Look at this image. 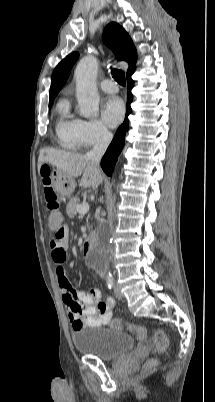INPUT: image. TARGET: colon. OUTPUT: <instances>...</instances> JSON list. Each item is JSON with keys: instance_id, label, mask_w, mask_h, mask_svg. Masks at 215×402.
I'll return each instance as SVG.
<instances>
[{"instance_id": "1", "label": "colon", "mask_w": 215, "mask_h": 402, "mask_svg": "<svg viewBox=\"0 0 215 402\" xmlns=\"http://www.w3.org/2000/svg\"><path fill=\"white\" fill-rule=\"evenodd\" d=\"M39 176L41 179H48L50 176L48 166L43 165L40 168ZM44 198L48 211V226L53 230L60 229L61 217L59 212V202L56 193L52 189L49 181H44ZM123 322L120 319H115L111 322V327L120 329L123 327ZM127 329L132 332L138 339L145 340L147 333L144 327L133 324H126ZM153 342L158 351H164L169 344L168 337L163 330H156L154 332ZM154 365V361H150L148 366Z\"/></svg>"}]
</instances>
